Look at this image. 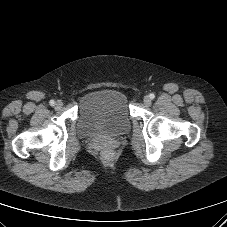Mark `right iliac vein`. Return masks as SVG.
<instances>
[{
    "label": "right iliac vein",
    "mask_w": 227,
    "mask_h": 227,
    "mask_svg": "<svg viewBox=\"0 0 227 227\" xmlns=\"http://www.w3.org/2000/svg\"><path fill=\"white\" fill-rule=\"evenodd\" d=\"M63 106V102L61 100H58L56 103H55V108L56 109H61Z\"/></svg>",
    "instance_id": "63e3f726"
}]
</instances>
